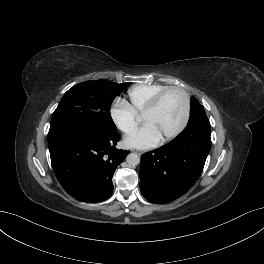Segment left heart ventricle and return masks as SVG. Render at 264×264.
I'll return each mask as SVG.
<instances>
[{"label":"left heart ventricle","mask_w":264,"mask_h":264,"mask_svg":"<svg viewBox=\"0 0 264 264\" xmlns=\"http://www.w3.org/2000/svg\"><path fill=\"white\" fill-rule=\"evenodd\" d=\"M183 107L182 94L178 91H171L163 98L155 111L143 117V121L153 125L163 138L179 126L183 116Z\"/></svg>","instance_id":"obj_1"}]
</instances>
